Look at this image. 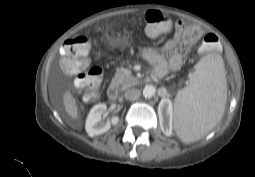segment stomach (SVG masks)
<instances>
[{
  "label": "stomach",
  "mask_w": 255,
  "mask_h": 177,
  "mask_svg": "<svg viewBox=\"0 0 255 177\" xmlns=\"http://www.w3.org/2000/svg\"><path fill=\"white\" fill-rule=\"evenodd\" d=\"M122 43L125 44V39H122Z\"/></svg>",
  "instance_id": "stomach-1"
}]
</instances>
